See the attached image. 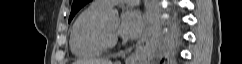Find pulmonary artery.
Masks as SVG:
<instances>
[{"mask_svg":"<svg viewBox=\"0 0 242 64\" xmlns=\"http://www.w3.org/2000/svg\"><path fill=\"white\" fill-rule=\"evenodd\" d=\"M118 3H128L130 5H136L138 4V0H96L94 1V4L106 9Z\"/></svg>","mask_w":242,"mask_h":64,"instance_id":"1","label":"pulmonary artery"}]
</instances>
